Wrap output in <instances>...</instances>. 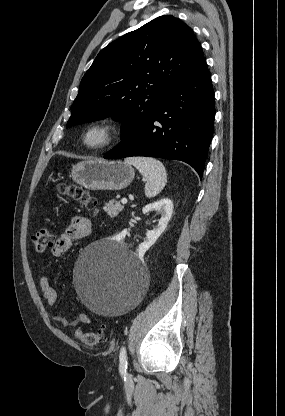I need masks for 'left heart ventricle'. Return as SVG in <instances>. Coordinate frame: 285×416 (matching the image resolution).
I'll use <instances>...</instances> for the list:
<instances>
[{
    "label": "left heart ventricle",
    "mask_w": 285,
    "mask_h": 416,
    "mask_svg": "<svg viewBox=\"0 0 285 416\" xmlns=\"http://www.w3.org/2000/svg\"><path fill=\"white\" fill-rule=\"evenodd\" d=\"M100 140H101L100 134L98 132H94L89 136L87 143L90 145H95V144H98Z\"/></svg>",
    "instance_id": "b2bd125f"
}]
</instances>
